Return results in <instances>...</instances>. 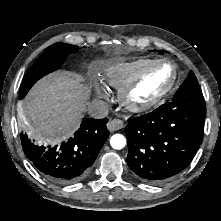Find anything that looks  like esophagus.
I'll return each instance as SVG.
<instances>
[{
  "label": "esophagus",
  "instance_id": "1",
  "mask_svg": "<svg viewBox=\"0 0 221 221\" xmlns=\"http://www.w3.org/2000/svg\"><path fill=\"white\" fill-rule=\"evenodd\" d=\"M124 127V123L121 120L113 119L109 121L107 124V128L110 132L122 129Z\"/></svg>",
  "mask_w": 221,
  "mask_h": 221
}]
</instances>
